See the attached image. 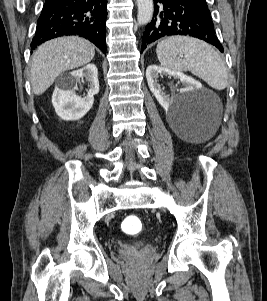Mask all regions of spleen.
<instances>
[{"label": "spleen", "instance_id": "1", "mask_svg": "<svg viewBox=\"0 0 267 301\" xmlns=\"http://www.w3.org/2000/svg\"><path fill=\"white\" fill-rule=\"evenodd\" d=\"M156 54L163 67L190 71L216 90L228 85V73L221 56L202 40L189 36L167 37L158 43Z\"/></svg>", "mask_w": 267, "mask_h": 301}]
</instances>
